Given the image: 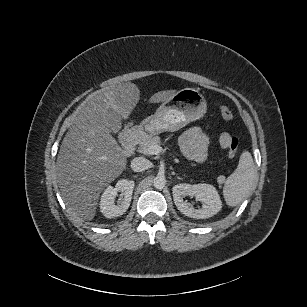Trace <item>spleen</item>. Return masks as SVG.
I'll return each instance as SVG.
<instances>
[{
  "mask_svg": "<svg viewBox=\"0 0 307 307\" xmlns=\"http://www.w3.org/2000/svg\"><path fill=\"white\" fill-rule=\"evenodd\" d=\"M256 180L252 156L243 153L236 170L225 181L224 196L227 203L235 206L241 202L255 190Z\"/></svg>",
  "mask_w": 307,
  "mask_h": 307,
  "instance_id": "3e777b00",
  "label": "spleen"
}]
</instances>
